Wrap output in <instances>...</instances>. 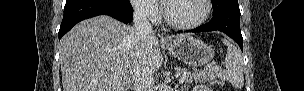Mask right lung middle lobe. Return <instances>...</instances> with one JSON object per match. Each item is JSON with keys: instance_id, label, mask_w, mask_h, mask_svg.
<instances>
[{"instance_id": "1", "label": "right lung middle lobe", "mask_w": 304, "mask_h": 91, "mask_svg": "<svg viewBox=\"0 0 304 91\" xmlns=\"http://www.w3.org/2000/svg\"><path fill=\"white\" fill-rule=\"evenodd\" d=\"M117 4H129V0H115Z\"/></svg>"}]
</instances>
